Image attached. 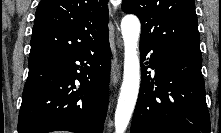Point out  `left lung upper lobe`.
<instances>
[{"label": "left lung upper lobe", "mask_w": 221, "mask_h": 133, "mask_svg": "<svg viewBox=\"0 0 221 133\" xmlns=\"http://www.w3.org/2000/svg\"><path fill=\"white\" fill-rule=\"evenodd\" d=\"M141 21L140 41L201 55L194 0H123Z\"/></svg>", "instance_id": "obj_1"}]
</instances>
